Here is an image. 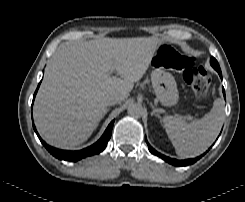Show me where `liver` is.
Wrapping results in <instances>:
<instances>
[{
	"instance_id": "obj_1",
	"label": "liver",
	"mask_w": 245,
	"mask_h": 202,
	"mask_svg": "<svg viewBox=\"0 0 245 202\" xmlns=\"http://www.w3.org/2000/svg\"><path fill=\"white\" fill-rule=\"evenodd\" d=\"M159 44L155 37H137L61 45L46 69L33 108L43 139L65 149L85 142L106 114V97L116 93L120 102L125 100ZM113 71L120 78L112 77Z\"/></svg>"
}]
</instances>
